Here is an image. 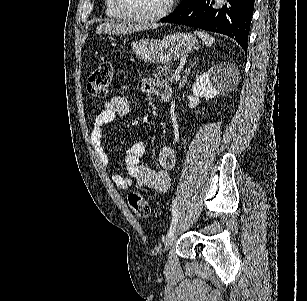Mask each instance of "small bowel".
<instances>
[{"instance_id":"small-bowel-1","label":"small bowel","mask_w":307,"mask_h":301,"mask_svg":"<svg viewBox=\"0 0 307 301\" xmlns=\"http://www.w3.org/2000/svg\"><path fill=\"white\" fill-rule=\"evenodd\" d=\"M142 92L163 97L170 94L169 87L160 81L145 79L139 83ZM130 111L129 99L124 95H116L104 104L102 111L96 116L90 135L91 144L97 154L100 163L107 166L108 155L103 147L102 139L106 126L118 117L125 116ZM145 151L143 142L133 143L126 152L125 164L128 175L116 174L113 176L114 184L122 190H127L136 183L140 187L153 189L157 192H166L170 187L169 171L176 164V154L170 147H162L158 153V170L140 164V159Z\"/></svg>"}]
</instances>
